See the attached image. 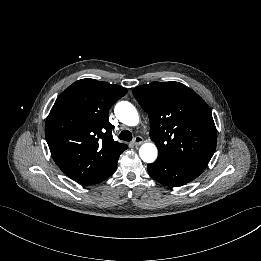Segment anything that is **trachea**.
I'll use <instances>...</instances> for the list:
<instances>
[{"label": "trachea", "instance_id": "trachea-1", "mask_svg": "<svg viewBox=\"0 0 261 261\" xmlns=\"http://www.w3.org/2000/svg\"><path fill=\"white\" fill-rule=\"evenodd\" d=\"M119 138L125 141H131L132 140V133L127 130V129H123L120 133H119Z\"/></svg>", "mask_w": 261, "mask_h": 261}]
</instances>
